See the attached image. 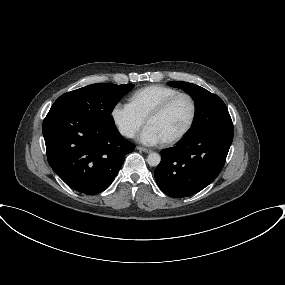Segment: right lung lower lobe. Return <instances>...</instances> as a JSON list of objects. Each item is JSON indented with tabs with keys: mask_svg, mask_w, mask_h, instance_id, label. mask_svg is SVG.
Masks as SVG:
<instances>
[{
	"mask_svg": "<svg viewBox=\"0 0 285 285\" xmlns=\"http://www.w3.org/2000/svg\"><path fill=\"white\" fill-rule=\"evenodd\" d=\"M42 131L51 168L69 187L88 195L104 191L135 148L115 126L64 107H51Z\"/></svg>",
	"mask_w": 285,
	"mask_h": 285,
	"instance_id": "1",
	"label": "right lung lower lobe"
}]
</instances>
